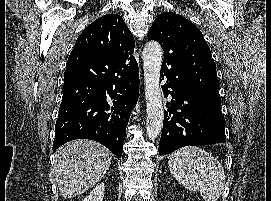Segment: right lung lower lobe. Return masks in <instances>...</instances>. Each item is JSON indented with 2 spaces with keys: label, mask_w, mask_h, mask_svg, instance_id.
Segmentation results:
<instances>
[{
  "label": "right lung lower lobe",
  "mask_w": 271,
  "mask_h": 201,
  "mask_svg": "<svg viewBox=\"0 0 271 201\" xmlns=\"http://www.w3.org/2000/svg\"><path fill=\"white\" fill-rule=\"evenodd\" d=\"M138 92L136 60L126 62L91 51L71 52L53 151L71 140L92 139L120 158Z\"/></svg>",
  "instance_id": "obj_1"
}]
</instances>
